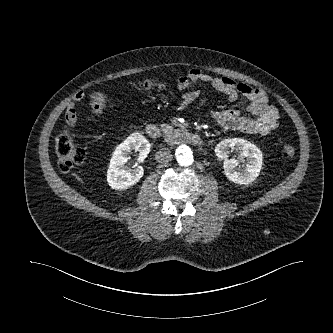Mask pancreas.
<instances>
[{
  "label": "pancreas",
  "instance_id": "cf45deb5",
  "mask_svg": "<svg viewBox=\"0 0 333 333\" xmlns=\"http://www.w3.org/2000/svg\"><path fill=\"white\" fill-rule=\"evenodd\" d=\"M160 127H161L162 131L166 134L173 132V127L168 124H161Z\"/></svg>",
  "mask_w": 333,
  "mask_h": 333
}]
</instances>
